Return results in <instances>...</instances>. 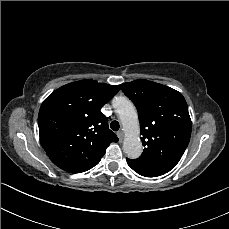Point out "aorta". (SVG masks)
Instances as JSON below:
<instances>
[{"instance_id": "obj_1", "label": "aorta", "mask_w": 229, "mask_h": 229, "mask_svg": "<svg viewBox=\"0 0 229 229\" xmlns=\"http://www.w3.org/2000/svg\"><path fill=\"white\" fill-rule=\"evenodd\" d=\"M113 105L125 132L123 152L127 157L136 159L142 153V143L139 138L140 129L135 106L125 97H118L114 100Z\"/></svg>"}]
</instances>
